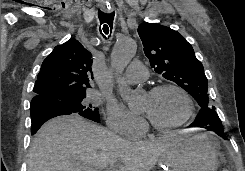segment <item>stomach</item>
Segmentation results:
<instances>
[{"instance_id":"0dacf381","label":"stomach","mask_w":245,"mask_h":171,"mask_svg":"<svg viewBox=\"0 0 245 171\" xmlns=\"http://www.w3.org/2000/svg\"><path fill=\"white\" fill-rule=\"evenodd\" d=\"M219 144L212 133L183 135L160 159L165 171H217Z\"/></svg>"}]
</instances>
